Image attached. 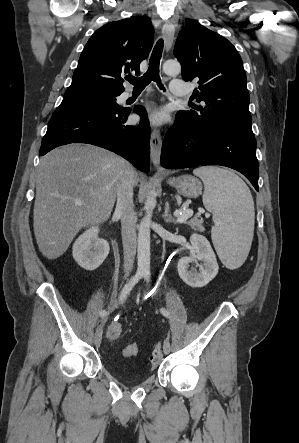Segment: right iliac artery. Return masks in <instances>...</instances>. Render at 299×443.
I'll return each instance as SVG.
<instances>
[{"label":"right iliac artery","mask_w":299,"mask_h":443,"mask_svg":"<svg viewBox=\"0 0 299 443\" xmlns=\"http://www.w3.org/2000/svg\"><path fill=\"white\" fill-rule=\"evenodd\" d=\"M143 277V273L137 272L135 276L123 287L120 296L119 301L123 303L125 299L127 298V295L130 293L132 288L135 286V284ZM108 315V312L106 310H102L100 312V316L102 318L106 317Z\"/></svg>","instance_id":"1"}]
</instances>
